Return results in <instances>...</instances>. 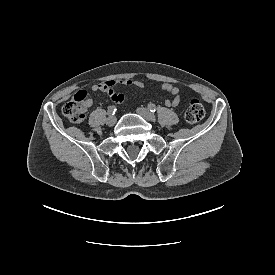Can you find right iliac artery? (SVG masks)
I'll list each match as a JSON object with an SVG mask.
<instances>
[{
    "mask_svg": "<svg viewBox=\"0 0 275 275\" xmlns=\"http://www.w3.org/2000/svg\"><path fill=\"white\" fill-rule=\"evenodd\" d=\"M115 112H116V107H115V106H110V107L108 108V113H109L110 115H114Z\"/></svg>",
    "mask_w": 275,
    "mask_h": 275,
    "instance_id": "1",
    "label": "right iliac artery"
}]
</instances>
